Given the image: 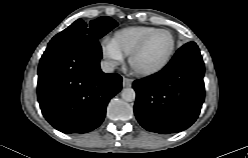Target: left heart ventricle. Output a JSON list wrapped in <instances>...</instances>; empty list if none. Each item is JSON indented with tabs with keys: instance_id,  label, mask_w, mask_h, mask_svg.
Returning <instances> with one entry per match:
<instances>
[{
	"instance_id": "1",
	"label": "left heart ventricle",
	"mask_w": 248,
	"mask_h": 158,
	"mask_svg": "<svg viewBox=\"0 0 248 158\" xmlns=\"http://www.w3.org/2000/svg\"><path fill=\"white\" fill-rule=\"evenodd\" d=\"M171 48V38L166 33L154 34L136 57L134 66L138 69H148L159 65Z\"/></svg>"
}]
</instances>
